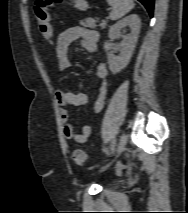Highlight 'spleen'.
Listing matches in <instances>:
<instances>
[{
    "mask_svg": "<svg viewBox=\"0 0 188 213\" xmlns=\"http://www.w3.org/2000/svg\"><path fill=\"white\" fill-rule=\"evenodd\" d=\"M108 4L112 7L109 15L111 20H117L127 14L134 8L133 0H107Z\"/></svg>",
    "mask_w": 188,
    "mask_h": 213,
    "instance_id": "obj_1",
    "label": "spleen"
}]
</instances>
